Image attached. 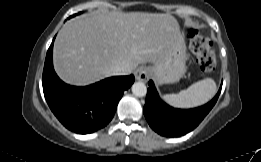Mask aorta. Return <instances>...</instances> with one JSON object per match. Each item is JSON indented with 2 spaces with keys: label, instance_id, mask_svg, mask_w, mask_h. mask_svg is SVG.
Returning <instances> with one entry per match:
<instances>
[{
  "label": "aorta",
  "instance_id": "762f6f07",
  "mask_svg": "<svg viewBox=\"0 0 261 162\" xmlns=\"http://www.w3.org/2000/svg\"><path fill=\"white\" fill-rule=\"evenodd\" d=\"M132 93L137 97H143L147 93V87L143 82H136L132 85Z\"/></svg>",
  "mask_w": 261,
  "mask_h": 162
}]
</instances>
